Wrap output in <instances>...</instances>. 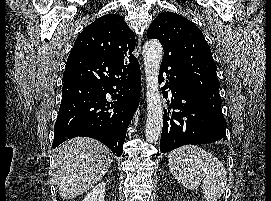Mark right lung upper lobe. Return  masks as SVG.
<instances>
[{
    "label": "right lung upper lobe",
    "instance_id": "cb5924a9",
    "mask_svg": "<svg viewBox=\"0 0 271 201\" xmlns=\"http://www.w3.org/2000/svg\"><path fill=\"white\" fill-rule=\"evenodd\" d=\"M135 36L124 19L116 14L104 15L88 25L77 37L71 53H92L126 63L136 58Z\"/></svg>",
    "mask_w": 271,
    "mask_h": 201
}]
</instances>
